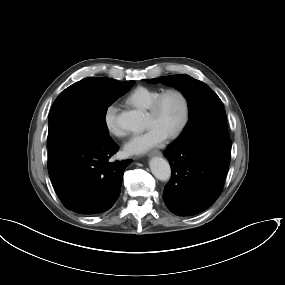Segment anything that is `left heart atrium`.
I'll return each mask as SVG.
<instances>
[{"instance_id": "obj_1", "label": "left heart atrium", "mask_w": 285, "mask_h": 285, "mask_svg": "<svg viewBox=\"0 0 285 285\" xmlns=\"http://www.w3.org/2000/svg\"><path fill=\"white\" fill-rule=\"evenodd\" d=\"M166 137L167 135L158 127L151 126L146 132L133 135L129 141L126 142L124 149L126 153L130 155L142 154L159 146Z\"/></svg>"}]
</instances>
